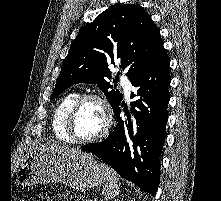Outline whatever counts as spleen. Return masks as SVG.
<instances>
[{
	"label": "spleen",
	"mask_w": 221,
	"mask_h": 201,
	"mask_svg": "<svg viewBox=\"0 0 221 201\" xmlns=\"http://www.w3.org/2000/svg\"><path fill=\"white\" fill-rule=\"evenodd\" d=\"M106 175V184L103 187L102 195L106 200L115 197L120 190V182L118 175L108 165L101 164Z\"/></svg>",
	"instance_id": "spleen-1"
}]
</instances>
